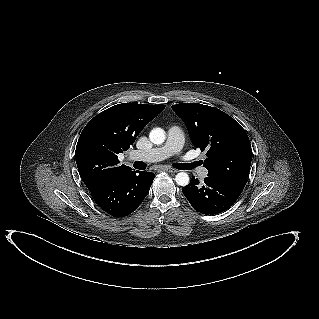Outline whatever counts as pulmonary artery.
<instances>
[{
    "mask_svg": "<svg viewBox=\"0 0 319 319\" xmlns=\"http://www.w3.org/2000/svg\"><path fill=\"white\" fill-rule=\"evenodd\" d=\"M184 144L183 132L180 127L172 126L168 130L167 140L161 147L153 148L147 151H137L135 154L142 160L147 162H155L163 160L169 156L181 153ZM183 158V164H193ZM199 174L205 178L208 175V170L204 167L199 168Z\"/></svg>",
    "mask_w": 319,
    "mask_h": 319,
    "instance_id": "obj_1",
    "label": "pulmonary artery"
}]
</instances>
